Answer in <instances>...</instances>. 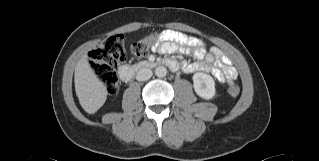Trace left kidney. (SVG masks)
<instances>
[{"label": "left kidney", "instance_id": "left-kidney-1", "mask_svg": "<svg viewBox=\"0 0 319 161\" xmlns=\"http://www.w3.org/2000/svg\"><path fill=\"white\" fill-rule=\"evenodd\" d=\"M193 86L196 94L204 99H212L215 95V82L214 79L202 72L193 75Z\"/></svg>", "mask_w": 319, "mask_h": 161}]
</instances>
